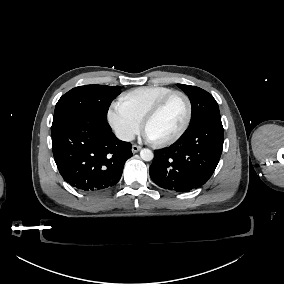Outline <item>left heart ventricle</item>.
I'll use <instances>...</instances> for the list:
<instances>
[{"mask_svg":"<svg viewBox=\"0 0 284 284\" xmlns=\"http://www.w3.org/2000/svg\"><path fill=\"white\" fill-rule=\"evenodd\" d=\"M187 114L185 99L178 95L145 126L153 141H162L174 135L182 126Z\"/></svg>","mask_w":284,"mask_h":284,"instance_id":"obj_1","label":"left heart ventricle"}]
</instances>
